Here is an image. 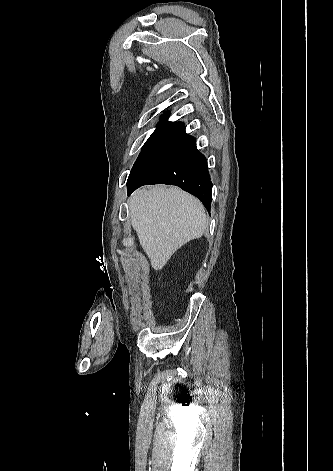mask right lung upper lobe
Here are the masks:
<instances>
[{
	"label": "right lung upper lobe",
	"mask_w": 333,
	"mask_h": 471,
	"mask_svg": "<svg viewBox=\"0 0 333 471\" xmlns=\"http://www.w3.org/2000/svg\"><path fill=\"white\" fill-rule=\"evenodd\" d=\"M169 116V112H167L165 115L162 116V119L167 120V117Z\"/></svg>",
	"instance_id": "1"
}]
</instances>
